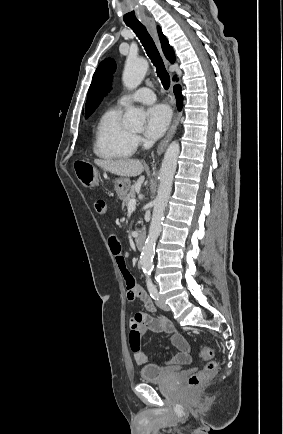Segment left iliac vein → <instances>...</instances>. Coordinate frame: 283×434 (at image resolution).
Wrapping results in <instances>:
<instances>
[{
	"mask_svg": "<svg viewBox=\"0 0 283 434\" xmlns=\"http://www.w3.org/2000/svg\"><path fill=\"white\" fill-rule=\"evenodd\" d=\"M156 304H157V306L160 308V309H162V310H164V311H169L170 310V307L164 302V300H162V299H158L157 301H156Z\"/></svg>",
	"mask_w": 283,
	"mask_h": 434,
	"instance_id": "1",
	"label": "left iliac vein"
}]
</instances>
